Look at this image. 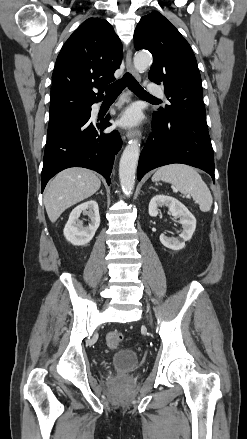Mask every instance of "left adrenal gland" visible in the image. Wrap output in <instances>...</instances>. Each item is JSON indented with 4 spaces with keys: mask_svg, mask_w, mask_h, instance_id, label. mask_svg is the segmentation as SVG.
Listing matches in <instances>:
<instances>
[{
    "mask_svg": "<svg viewBox=\"0 0 247 439\" xmlns=\"http://www.w3.org/2000/svg\"><path fill=\"white\" fill-rule=\"evenodd\" d=\"M149 188H150V189H155V190H157L156 188H154V187H152V186H151V187H149Z\"/></svg>",
    "mask_w": 247,
    "mask_h": 439,
    "instance_id": "a2214340",
    "label": "left adrenal gland"
}]
</instances>
